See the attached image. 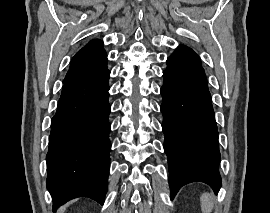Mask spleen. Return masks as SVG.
<instances>
[{"label":"spleen","instance_id":"spleen-1","mask_svg":"<svg viewBox=\"0 0 270 213\" xmlns=\"http://www.w3.org/2000/svg\"><path fill=\"white\" fill-rule=\"evenodd\" d=\"M202 213H211L213 210V199L211 194L203 193L200 197Z\"/></svg>","mask_w":270,"mask_h":213}]
</instances>
